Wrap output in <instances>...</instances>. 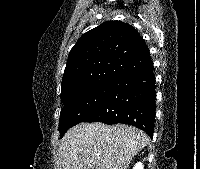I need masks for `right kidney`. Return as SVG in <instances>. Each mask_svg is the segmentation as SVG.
<instances>
[{
  "mask_svg": "<svg viewBox=\"0 0 200 169\" xmlns=\"http://www.w3.org/2000/svg\"><path fill=\"white\" fill-rule=\"evenodd\" d=\"M133 169H144L143 164L141 162H138Z\"/></svg>",
  "mask_w": 200,
  "mask_h": 169,
  "instance_id": "1",
  "label": "right kidney"
}]
</instances>
